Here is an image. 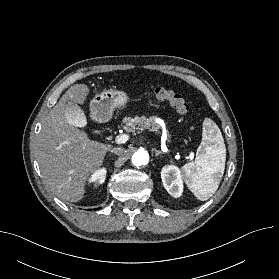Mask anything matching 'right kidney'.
<instances>
[{
	"label": "right kidney",
	"instance_id": "1",
	"mask_svg": "<svg viewBox=\"0 0 279 279\" xmlns=\"http://www.w3.org/2000/svg\"><path fill=\"white\" fill-rule=\"evenodd\" d=\"M106 169L105 168H101L99 170H96L91 177L89 178V182L94 183L95 186L99 185V184H103L106 178Z\"/></svg>",
	"mask_w": 279,
	"mask_h": 279
}]
</instances>
